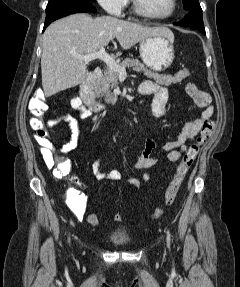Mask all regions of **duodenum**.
<instances>
[{
  "mask_svg": "<svg viewBox=\"0 0 240 287\" xmlns=\"http://www.w3.org/2000/svg\"><path fill=\"white\" fill-rule=\"evenodd\" d=\"M101 76V68H95L80 84V95L82 101L95 112H99L105 108V105L102 102L97 101L95 97V85Z\"/></svg>",
  "mask_w": 240,
  "mask_h": 287,
  "instance_id": "obj_1",
  "label": "duodenum"
}]
</instances>
